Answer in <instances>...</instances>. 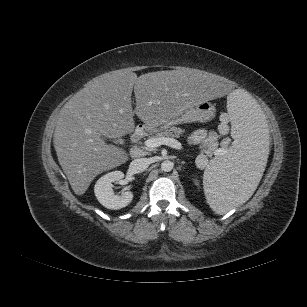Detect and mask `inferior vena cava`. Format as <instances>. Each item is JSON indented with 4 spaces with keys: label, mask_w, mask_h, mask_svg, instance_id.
I'll return each mask as SVG.
<instances>
[{
    "label": "inferior vena cava",
    "mask_w": 307,
    "mask_h": 307,
    "mask_svg": "<svg viewBox=\"0 0 307 307\" xmlns=\"http://www.w3.org/2000/svg\"><path fill=\"white\" fill-rule=\"evenodd\" d=\"M149 164L148 158L134 159L129 165V171L133 174L141 173L148 168Z\"/></svg>",
    "instance_id": "602c4592"
}]
</instances>
